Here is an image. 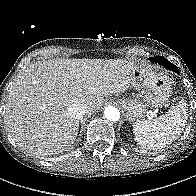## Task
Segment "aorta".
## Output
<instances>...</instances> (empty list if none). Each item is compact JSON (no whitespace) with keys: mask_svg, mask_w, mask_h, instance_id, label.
<instances>
[{"mask_svg":"<svg viewBox=\"0 0 196 196\" xmlns=\"http://www.w3.org/2000/svg\"><path fill=\"white\" fill-rule=\"evenodd\" d=\"M104 116L107 120L116 122L120 119V112L116 107L108 106L104 110Z\"/></svg>","mask_w":196,"mask_h":196,"instance_id":"obj_1","label":"aorta"}]
</instances>
